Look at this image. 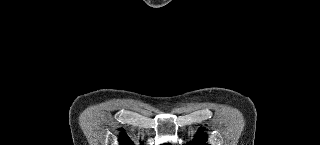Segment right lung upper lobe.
<instances>
[{
	"label": "right lung upper lobe",
	"instance_id": "right-lung-upper-lobe-1",
	"mask_svg": "<svg viewBox=\"0 0 320 145\" xmlns=\"http://www.w3.org/2000/svg\"><path fill=\"white\" fill-rule=\"evenodd\" d=\"M120 145H133L132 141L126 134H121L119 139Z\"/></svg>",
	"mask_w": 320,
	"mask_h": 145
}]
</instances>
